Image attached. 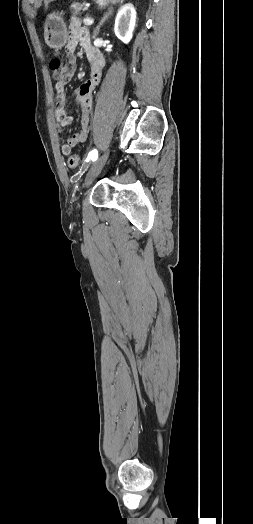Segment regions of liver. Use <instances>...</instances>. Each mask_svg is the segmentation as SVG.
Here are the masks:
<instances>
[{
  "mask_svg": "<svg viewBox=\"0 0 253 524\" xmlns=\"http://www.w3.org/2000/svg\"><path fill=\"white\" fill-rule=\"evenodd\" d=\"M53 1H54V0H45L44 2H45V5L48 6V4H49L50 2H53Z\"/></svg>",
  "mask_w": 253,
  "mask_h": 524,
  "instance_id": "liver-1",
  "label": "liver"
}]
</instances>
